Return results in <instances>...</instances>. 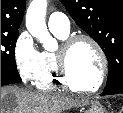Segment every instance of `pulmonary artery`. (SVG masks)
<instances>
[{
    "label": "pulmonary artery",
    "mask_w": 123,
    "mask_h": 113,
    "mask_svg": "<svg viewBox=\"0 0 123 113\" xmlns=\"http://www.w3.org/2000/svg\"><path fill=\"white\" fill-rule=\"evenodd\" d=\"M48 27L52 32L69 33L70 21L69 18L60 12H54L48 19Z\"/></svg>",
    "instance_id": "pulmonary-artery-1"
}]
</instances>
